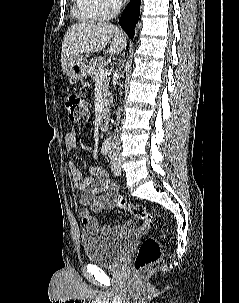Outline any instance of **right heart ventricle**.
<instances>
[{
    "label": "right heart ventricle",
    "instance_id": "obj_1",
    "mask_svg": "<svg viewBox=\"0 0 239 303\" xmlns=\"http://www.w3.org/2000/svg\"><path fill=\"white\" fill-rule=\"evenodd\" d=\"M72 13L77 19L85 22L103 19L96 13L91 0H73Z\"/></svg>",
    "mask_w": 239,
    "mask_h": 303
}]
</instances>
